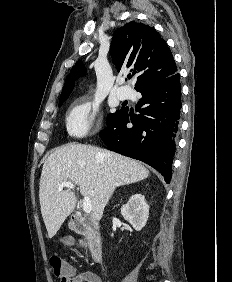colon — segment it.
<instances>
[{
	"instance_id": "5ec220e1",
	"label": "colon",
	"mask_w": 232,
	"mask_h": 282,
	"mask_svg": "<svg viewBox=\"0 0 232 282\" xmlns=\"http://www.w3.org/2000/svg\"><path fill=\"white\" fill-rule=\"evenodd\" d=\"M50 265L54 275L60 282H69L71 276V266L58 255L50 257Z\"/></svg>"
}]
</instances>
